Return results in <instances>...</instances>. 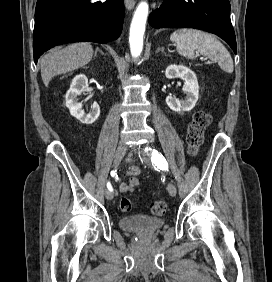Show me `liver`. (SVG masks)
<instances>
[{"label": "liver", "mask_w": 272, "mask_h": 282, "mask_svg": "<svg viewBox=\"0 0 272 282\" xmlns=\"http://www.w3.org/2000/svg\"><path fill=\"white\" fill-rule=\"evenodd\" d=\"M93 57L90 43H74L63 49H54L41 58V77L48 86L53 77L70 72L88 64Z\"/></svg>", "instance_id": "obj_1"}]
</instances>
